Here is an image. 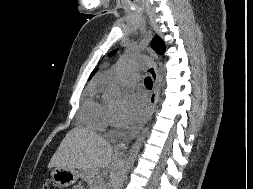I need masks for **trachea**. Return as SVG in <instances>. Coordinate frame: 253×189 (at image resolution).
I'll use <instances>...</instances> for the list:
<instances>
[{"mask_svg": "<svg viewBox=\"0 0 253 189\" xmlns=\"http://www.w3.org/2000/svg\"><path fill=\"white\" fill-rule=\"evenodd\" d=\"M144 84L145 86L148 88V89H152V79L150 77H146L145 80H144Z\"/></svg>", "mask_w": 253, "mask_h": 189, "instance_id": "trachea-1", "label": "trachea"}]
</instances>
